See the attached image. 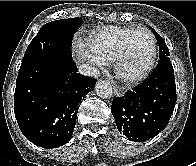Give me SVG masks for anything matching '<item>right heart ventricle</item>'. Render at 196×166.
Instances as JSON below:
<instances>
[{
    "label": "right heart ventricle",
    "instance_id": "obj_1",
    "mask_svg": "<svg viewBox=\"0 0 196 166\" xmlns=\"http://www.w3.org/2000/svg\"><path fill=\"white\" fill-rule=\"evenodd\" d=\"M131 27L109 26L95 31L88 39L90 50L106 63L114 61Z\"/></svg>",
    "mask_w": 196,
    "mask_h": 166
}]
</instances>
